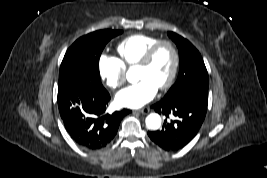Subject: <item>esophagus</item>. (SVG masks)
Masks as SVG:
<instances>
[{
    "label": "esophagus",
    "instance_id": "34e87169",
    "mask_svg": "<svg viewBox=\"0 0 267 178\" xmlns=\"http://www.w3.org/2000/svg\"><path fill=\"white\" fill-rule=\"evenodd\" d=\"M149 108H142L139 110H136L135 112L142 113V114H148L149 113Z\"/></svg>",
    "mask_w": 267,
    "mask_h": 178
}]
</instances>
